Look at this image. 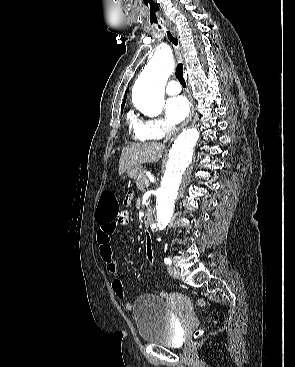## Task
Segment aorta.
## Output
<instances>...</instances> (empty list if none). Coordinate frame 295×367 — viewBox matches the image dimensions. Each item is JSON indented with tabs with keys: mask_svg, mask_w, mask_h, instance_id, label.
I'll return each mask as SVG.
<instances>
[{
	"mask_svg": "<svg viewBox=\"0 0 295 367\" xmlns=\"http://www.w3.org/2000/svg\"><path fill=\"white\" fill-rule=\"evenodd\" d=\"M173 69L174 61L169 55L157 53L148 62L132 91L133 103L140 112L151 117L162 112L164 88ZM198 139L199 132L196 128L184 129L175 139L157 191V223L152 225V229L163 230L168 225Z\"/></svg>",
	"mask_w": 295,
	"mask_h": 367,
	"instance_id": "762f6f07",
	"label": "aorta"
}]
</instances>
